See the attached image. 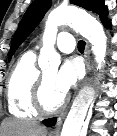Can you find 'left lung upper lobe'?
I'll return each instance as SVG.
<instances>
[{
    "label": "left lung upper lobe",
    "instance_id": "1",
    "mask_svg": "<svg viewBox=\"0 0 117 136\" xmlns=\"http://www.w3.org/2000/svg\"><path fill=\"white\" fill-rule=\"evenodd\" d=\"M70 3L99 14L102 22L107 19V7L104 5L103 0H70ZM50 6L51 0H35L31 3L13 37L9 52V60L24 39L39 24Z\"/></svg>",
    "mask_w": 117,
    "mask_h": 136
}]
</instances>
